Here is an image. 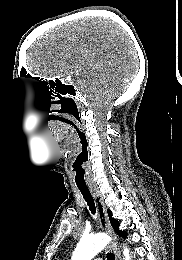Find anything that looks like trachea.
<instances>
[{
  "mask_svg": "<svg viewBox=\"0 0 182 260\" xmlns=\"http://www.w3.org/2000/svg\"><path fill=\"white\" fill-rule=\"evenodd\" d=\"M78 188H79L84 200L86 201V203L89 207V210L94 215L96 212V207H95L94 199H93L89 189L87 187H78ZM107 260H115L114 254L111 252L107 253Z\"/></svg>",
  "mask_w": 182,
  "mask_h": 260,
  "instance_id": "1",
  "label": "trachea"
}]
</instances>
